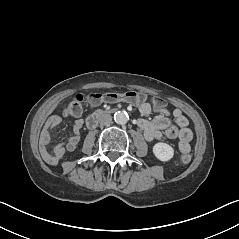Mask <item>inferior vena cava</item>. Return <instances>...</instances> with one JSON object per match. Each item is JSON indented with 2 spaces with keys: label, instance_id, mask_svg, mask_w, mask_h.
Wrapping results in <instances>:
<instances>
[{
  "label": "inferior vena cava",
  "instance_id": "inferior-vena-cava-1",
  "mask_svg": "<svg viewBox=\"0 0 239 239\" xmlns=\"http://www.w3.org/2000/svg\"><path fill=\"white\" fill-rule=\"evenodd\" d=\"M98 121L100 125L108 126L112 122V117L110 114L104 113L99 117Z\"/></svg>",
  "mask_w": 239,
  "mask_h": 239
}]
</instances>
